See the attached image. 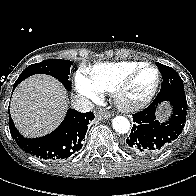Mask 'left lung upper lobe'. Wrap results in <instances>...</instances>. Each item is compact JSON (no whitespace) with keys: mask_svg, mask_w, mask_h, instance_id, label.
Masks as SVG:
<instances>
[{"mask_svg":"<svg viewBox=\"0 0 196 196\" xmlns=\"http://www.w3.org/2000/svg\"><path fill=\"white\" fill-rule=\"evenodd\" d=\"M156 65H157L158 69L161 71L165 70V69L172 71L174 73V77H175L174 82H171L169 80L168 81L163 80L161 90L159 93L161 95L185 94L184 88H183V81L180 78V76L178 75V73L174 69H172L171 67L165 66L163 64L156 63Z\"/></svg>","mask_w":196,"mask_h":196,"instance_id":"1","label":"left lung upper lobe"}]
</instances>
